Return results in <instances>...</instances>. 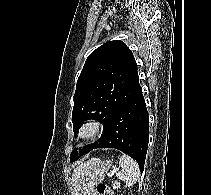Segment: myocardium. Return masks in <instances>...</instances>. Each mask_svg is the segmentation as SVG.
<instances>
[{
	"label": "myocardium",
	"mask_w": 211,
	"mask_h": 195,
	"mask_svg": "<svg viewBox=\"0 0 211 195\" xmlns=\"http://www.w3.org/2000/svg\"><path fill=\"white\" fill-rule=\"evenodd\" d=\"M102 130V125L99 119L89 118L83 122L79 129V137L82 140H92L96 138Z\"/></svg>",
	"instance_id": "f54148a6"
}]
</instances>
